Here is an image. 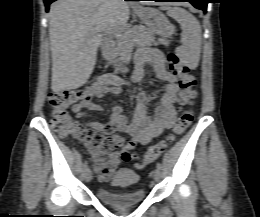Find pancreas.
I'll return each mask as SVG.
<instances>
[{
	"instance_id": "cf45deb5",
	"label": "pancreas",
	"mask_w": 260,
	"mask_h": 217,
	"mask_svg": "<svg viewBox=\"0 0 260 217\" xmlns=\"http://www.w3.org/2000/svg\"><path fill=\"white\" fill-rule=\"evenodd\" d=\"M165 43V40H159ZM156 44L154 34L142 26L121 29L116 34V41H108V46L119 54L120 59H124L134 46H151Z\"/></svg>"
}]
</instances>
